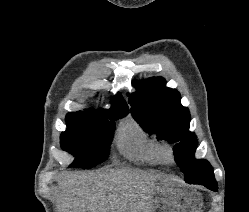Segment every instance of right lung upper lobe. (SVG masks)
<instances>
[{"instance_id":"1","label":"right lung upper lobe","mask_w":249,"mask_h":212,"mask_svg":"<svg viewBox=\"0 0 249 212\" xmlns=\"http://www.w3.org/2000/svg\"><path fill=\"white\" fill-rule=\"evenodd\" d=\"M111 104L112 106L108 110H122V111L129 112L127 103L122 98L120 93H118L114 98H112ZM100 110H106V109H100Z\"/></svg>"}]
</instances>
